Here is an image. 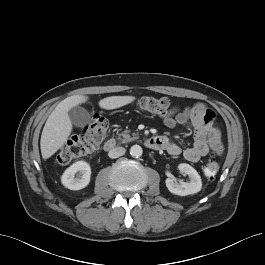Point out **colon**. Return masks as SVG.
Masks as SVG:
<instances>
[{
	"label": "colon",
	"mask_w": 265,
	"mask_h": 265,
	"mask_svg": "<svg viewBox=\"0 0 265 265\" xmlns=\"http://www.w3.org/2000/svg\"><path fill=\"white\" fill-rule=\"evenodd\" d=\"M138 107L152 115L167 117L172 114V103L168 98L142 97L137 102ZM108 122L106 118L95 114L86 125L81 135L70 139L58 152L56 162L68 164L75 159L87 156L97 150L107 135ZM219 161L215 156L207 158L204 164V174L214 177L219 171Z\"/></svg>",
	"instance_id": "1"
}]
</instances>
